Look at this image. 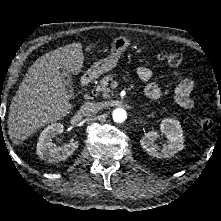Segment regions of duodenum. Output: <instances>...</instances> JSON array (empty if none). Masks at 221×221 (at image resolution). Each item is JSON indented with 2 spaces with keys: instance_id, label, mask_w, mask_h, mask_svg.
Listing matches in <instances>:
<instances>
[{
  "instance_id": "duodenum-1",
  "label": "duodenum",
  "mask_w": 221,
  "mask_h": 221,
  "mask_svg": "<svg viewBox=\"0 0 221 221\" xmlns=\"http://www.w3.org/2000/svg\"><path fill=\"white\" fill-rule=\"evenodd\" d=\"M92 76L91 74L87 73L85 75L82 76L81 81H80V87L82 89H84L85 87H87L91 82H92Z\"/></svg>"
}]
</instances>
